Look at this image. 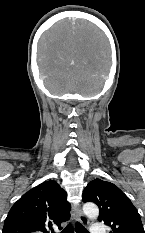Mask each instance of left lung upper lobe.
<instances>
[{
	"instance_id": "1",
	"label": "left lung upper lobe",
	"mask_w": 145,
	"mask_h": 233,
	"mask_svg": "<svg viewBox=\"0 0 145 233\" xmlns=\"http://www.w3.org/2000/svg\"><path fill=\"white\" fill-rule=\"evenodd\" d=\"M82 198L98 205V220L111 227L110 233H145L137 209L113 183L95 179L84 189Z\"/></svg>"
}]
</instances>
